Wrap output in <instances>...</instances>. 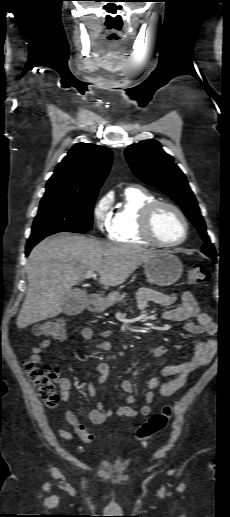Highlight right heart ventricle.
Returning <instances> with one entry per match:
<instances>
[{"label": "right heart ventricle", "mask_w": 230, "mask_h": 517, "mask_svg": "<svg viewBox=\"0 0 230 517\" xmlns=\"http://www.w3.org/2000/svg\"><path fill=\"white\" fill-rule=\"evenodd\" d=\"M154 201L155 196L142 187L126 188L122 202L113 214L108 232L109 239L129 245L152 244L141 232V214L143 209Z\"/></svg>", "instance_id": "obj_1"}]
</instances>
